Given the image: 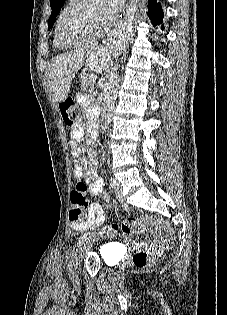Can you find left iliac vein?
<instances>
[{"mask_svg":"<svg viewBox=\"0 0 227 315\" xmlns=\"http://www.w3.org/2000/svg\"><path fill=\"white\" fill-rule=\"evenodd\" d=\"M114 191H115V196L116 199L118 201H123V194H122V190H121V185L119 183V181H117L115 179V185L113 186ZM95 241V236L94 235H90L84 242H83V247H87L89 245H91L93 242Z\"/></svg>","mask_w":227,"mask_h":315,"instance_id":"1","label":"left iliac vein"}]
</instances>
